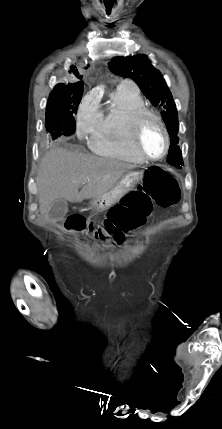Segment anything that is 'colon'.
I'll list each match as a JSON object with an SVG mask.
<instances>
[{
	"mask_svg": "<svg viewBox=\"0 0 222 429\" xmlns=\"http://www.w3.org/2000/svg\"><path fill=\"white\" fill-rule=\"evenodd\" d=\"M180 200V189L175 177L158 166L143 170V180L136 190L125 195L110 208L106 219L99 225H90L89 230L97 237L112 236L120 242L124 235L139 226L151 214L153 205L169 208ZM68 228L81 230L86 227L80 216L69 217Z\"/></svg>",
	"mask_w": 222,
	"mask_h": 429,
	"instance_id": "5ec220e1",
	"label": "colon"
}]
</instances>
